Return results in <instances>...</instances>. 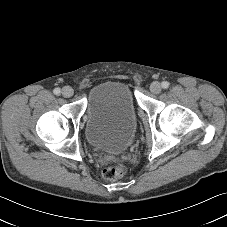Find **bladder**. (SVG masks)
I'll return each instance as SVG.
<instances>
[{
	"label": "bladder",
	"mask_w": 227,
	"mask_h": 227,
	"mask_svg": "<svg viewBox=\"0 0 227 227\" xmlns=\"http://www.w3.org/2000/svg\"><path fill=\"white\" fill-rule=\"evenodd\" d=\"M137 127L133 94L127 84L106 81L87 97L85 136L96 149L120 153L132 143Z\"/></svg>",
	"instance_id": "31cf9c89"
}]
</instances>
